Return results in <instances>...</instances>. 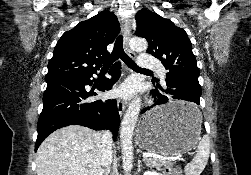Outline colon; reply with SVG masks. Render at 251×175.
Listing matches in <instances>:
<instances>
[{"mask_svg":"<svg viewBox=\"0 0 251 175\" xmlns=\"http://www.w3.org/2000/svg\"><path fill=\"white\" fill-rule=\"evenodd\" d=\"M165 175H182L181 169L178 166H168L164 169Z\"/></svg>","mask_w":251,"mask_h":175,"instance_id":"obj_1","label":"colon"}]
</instances>
